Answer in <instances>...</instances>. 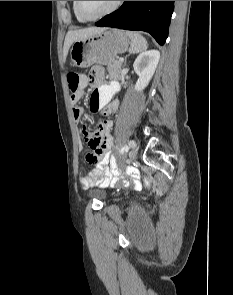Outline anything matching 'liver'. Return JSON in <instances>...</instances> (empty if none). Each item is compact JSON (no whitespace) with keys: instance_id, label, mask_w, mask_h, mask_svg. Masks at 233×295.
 <instances>
[{"instance_id":"obj_1","label":"liver","mask_w":233,"mask_h":295,"mask_svg":"<svg viewBox=\"0 0 233 295\" xmlns=\"http://www.w3.org/2000/svg\"><path fill=\"white\" fill-rule=\"evenodd\" d=\"M102 30H104V28L90 27V28H85L80 30L68 31L65 37L64 47H63L64 61L66 60V57L71 45L75 41L86 39L94 34L101 32Z\"/></svg>"}]
</instances>
